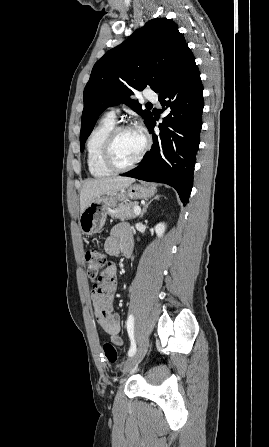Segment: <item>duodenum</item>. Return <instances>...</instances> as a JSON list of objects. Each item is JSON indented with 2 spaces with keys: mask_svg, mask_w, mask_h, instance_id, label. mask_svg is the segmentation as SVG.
<instances>
[{
  "mask_svg": "<svg viewBox=\"0 0 269 447\" xmlns=\"http://www.w3.org/2000/svg\"><path fill=\"white\" fill-rule=\"evenodd\" d=\"M130 252H127L126 255H129Z\"/></svg>",
  "mask_w": 269,
  "mask_h": 447,
  "instance_id": "duodenum-1",
  "label": "duodenum"
}]
</instances>
